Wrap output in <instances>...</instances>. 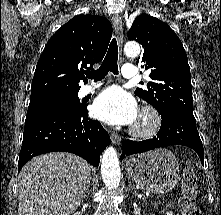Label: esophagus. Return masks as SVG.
<instances>
[{
  "label": "esophagus",
  "mask_w": 221,
  "mask_h": 215,
  "mask_svg": "<svg viewBox=\"0 0 221 215\" xmlns=\"http://www.w3.org/2000/svg\"><path fill=\"white\" fill-rule=\"evenodd\" d=\"M112 23L115 28V32L117 34V40H118L120 50L122 52V42H123L122 26H123V24H122L121 17L118 14L114 15L112 18ZM111 141L114 145H120V143H121L120 135L117 133H111Z\"/></svg>",
  "instance_id": "obj_1"
}]
</instances>
